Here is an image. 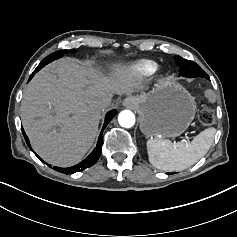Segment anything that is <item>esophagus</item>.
<instances>
[{"label":"esophagus","mask_w":237,"mask_h":237,"mask_svg":"<svg viewBox=\"0 0 237 237\" xmlns=\"http://www.w3.org/2000/svg\"><path fill=\"white\" fill-rule=\"evenodd\" d=\"M135 104V101L133 100V97L128 96L125 100H124V105L125 106H130Z\"/></svg>","instance_id":"1"}]
</instances>
